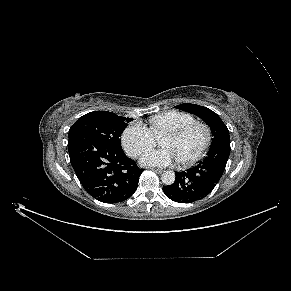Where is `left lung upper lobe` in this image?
<instances>
[{"mask_svg":"<svg viewBox=\"0 0 291 291\" xmlns=\"http://www.w3.org/2000/svg\"><path fill=\"white\" fill-rule=\"evenodd\" d=\"M176 108L197 115L210 126L213 139L209 150L218 145L230 144L229 130L215 112L206 107L188 103L180 104Z\"/></svg>","mask_w":291,"mask_h":291,"instance_id":"1","label":"left lung upper lobe"}]
</instances>
